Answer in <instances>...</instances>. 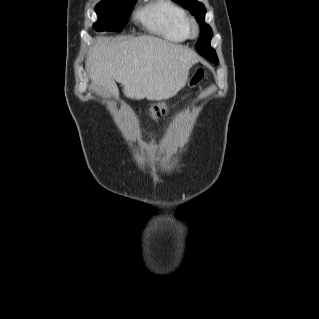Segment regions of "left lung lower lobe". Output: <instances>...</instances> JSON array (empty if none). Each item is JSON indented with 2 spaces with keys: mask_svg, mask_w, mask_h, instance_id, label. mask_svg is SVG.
<instances>
[{
  "mask_svg": "<svg viewBox=\"0 0 319 319\" xmlns=\"http://www.w3.org/2000/svg\"><path fill=\"white\" fill-rule=\"evenodd\" d=\"M211 47V46H210ZM198 48V52L205 58H207L208 60H210L211 62L218 64V58L217 55H215L214 57H210L208 54L205 53V50H202V48L200 47V45L197 46ZM213 49V48H212ZM209 57V58H208Z\"/></svg>",
  "mask_w": 319,
  "mask_h": 319,
  "instance_id": "obj_1",
  "label": "left lung lower lobe"
}]
</instances>
